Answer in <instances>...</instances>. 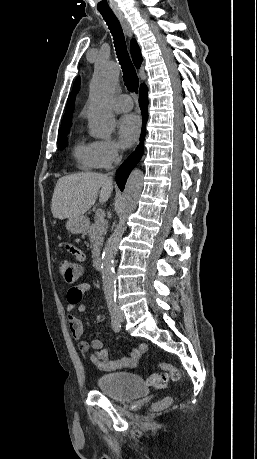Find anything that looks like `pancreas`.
<instances>
[{
    "instance_id": "1",
    "label": "pancreas",
    "mask_w": 257,
    "mask_h": 459,
    "mask_svg": "<svg viewBox=\"0 0 257 459\" xmlns=\"http://www.w3.org/2000/svg\"><path fill=\"white\" fill-rule=\"evenodd\" d=\"M108 223L104 220H95L94 223L87 226L83 235H88L90 243L92 245V256L96 257L102 244L104 242V236L107 233Z\"/></svg>"
}]
</instances>
